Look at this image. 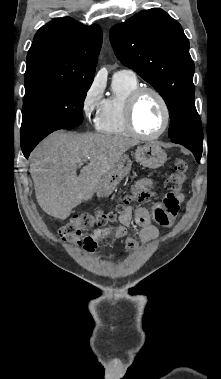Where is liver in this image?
Returning <instances> with one entry per match:
<instances>
[{
	"instance_id": "obj_1",
	"label": "liver",
	"mask_w": 221,
	"mask_h": 379,
	"mask_svg": "<svg viewBox=\"0 0 221 379\" xmlns=\"http://www.w3.org/2000/svg\"><path fill=\"white\" fill-rule=\"evenodd\" d=\"M138 141L98 133L54 132L31 154V176L39 206L48 215L66 219L73 208L91 199L102 177ZM89 159L79 176L77 169Z\"/></svg>"
}]
</instances>
